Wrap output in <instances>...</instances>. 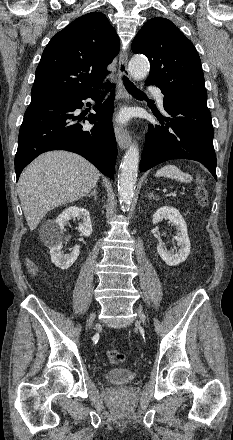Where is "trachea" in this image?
<instances>
[{
  "label": "trachea",
  "instance_id": "trachea-1",
  "mask_svg": "<svg viewBox=\"0 0 233 440\" xmlns=\"http://www.w3.org/2000/svg\"><path fill=\"white\" fill-rule=\"evenodd\" d=\"M124 86L127 91L134 96H146L144 92L140 91L126 76L123 78Z\"/></svg>",
  "mask_w": 233,
  "mask_h": 440
}]
</instances>
